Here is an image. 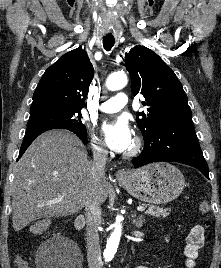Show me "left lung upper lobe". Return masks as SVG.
Returning <instances> with one entry per match:
<instances>
[{"mask_svg": "<svg viewBox=\"0 0 221 268\" xmlns=\"http://www.w3.org/2000/svg\"><path fill=\"white\" fill-rule=\"evenodd\" d=\"M133 95L141 94L146 112L137 113V124L147 139L163 123H192V112L175 73L152 50L138 45L125 57Z\"/></svg>", "mask_w": 221, "mask_h": 268, "instance_id": "5c2ea615", "label": "left lung upper lobe"}]
</instances>
